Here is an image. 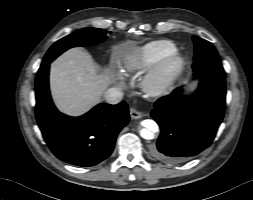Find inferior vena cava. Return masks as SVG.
I'll return each instance as SVG.
<instances>
[{
	"mask_svg": "<svg viewBox=\"0 0 253 200\" xmlns=\"http://www.w3.org/2000/svg\"><path fill=\"white\" fill-rule=\"evenodd\" d=\"M123 98L120 88L112 87L104 93V99L109 104H118Z\"/></svg>",
	"mask_w": 253,
	"mask_h": 200,
	"instance_id": "inferior-vena-cava-1",
	"label": "inferior vena cava"
}]
</instances>
